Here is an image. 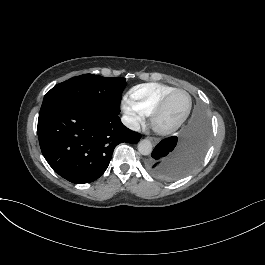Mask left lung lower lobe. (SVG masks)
I'll use <instances>...</instances> for the list:
<instances>
[{"instance_id": "0a47b994", "label": "left lung lower lobe", "mask_w": 265, "mask_h": 265, "mask_svg": "<svg viewBox=\"0 0 265 265\" xmlns=\"http://www.w3.org/2000/svg\"><path fill=\"white\" fill-rule=\"evenodd\" d=\"M209 121L198 105L178 136L160 141L146 161L151 175L161 180H175L194 170L202 161L209 143Z\"/></svg>"}]
</instances>
